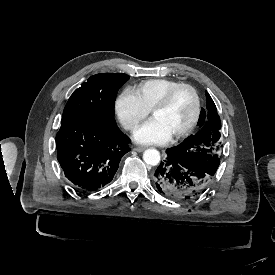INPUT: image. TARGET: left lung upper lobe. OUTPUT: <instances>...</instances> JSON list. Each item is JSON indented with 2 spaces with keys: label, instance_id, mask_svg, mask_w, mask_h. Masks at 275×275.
<instances>
[{
  "label": "left lung upper lobe",
  "instance_id": "1",
  "mask_svg": "<svg viewBox=\"0 0 275 275\" xmlns=\"http://www.w3.org/2000/svg\"><path fill=\"white\" fill-rule=\"evenodd\" d=\"M207 110L202 109L198 126L201 131L186 138L181 144L170 148V151L198 166L215 174L219 164V150L222 147L221 121L217 108L210 95L206 92Z\"/></svg>",
  "mask_w": 275,
  "mask_h": 275
}]
</instances>
